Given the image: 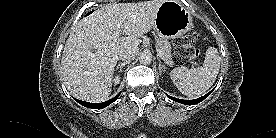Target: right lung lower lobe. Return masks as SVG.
Segmentation results:
<instances>
[{"mask_svg": "<svg viewBox=\"0 0 276 138\" xmlns=\"http://www.w3.org/2000/svg\"><path fill=\"white\" fill-rule=\"evenodd\" d=\"M119 95H120V93L117 96H115L114 98H112L108 101L102 102V103H89V102H84V101H81L78 99H76V101L87 108L102 109V108H105L106 106L110 105L111 103H113L115 100H117Z\"/></svg>", "mask_w": 276, "mask_h": 138, "instance_id": "98d812e1", "label": "right lung lower lobe"}]
</instances>
